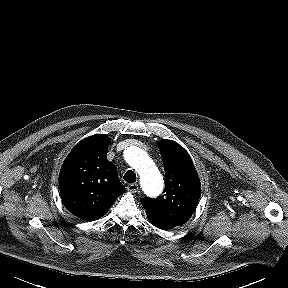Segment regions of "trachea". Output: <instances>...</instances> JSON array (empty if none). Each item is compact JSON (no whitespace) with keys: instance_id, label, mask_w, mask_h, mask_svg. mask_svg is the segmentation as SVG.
<instances>
[{"instance_id":"3493384b","label":"trachea","mask_w":288,"mask_h":288,"mask_svg":"<svg viewBox=\"0 0 288 288\" xmlns=\"http://www.w3.org/2000/svg\"><path fill=\"white\" fill-rule=\"evenodd\" d=\"M123 179L128 183H134L136 182V174L134 173V171L128 170L123 176Z\"/></svg>"}]
</instances>
